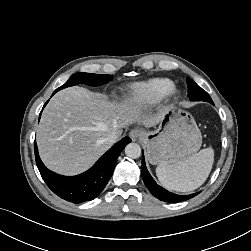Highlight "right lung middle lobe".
<instances>
[{"label": "right lung middle lobe", "instance_id": "dd1d6c3e", "mask_svg": "<svg viewBox=\"0 0 251 251\" xmlns=\"http://www.w3.org/2000/svg\"><path fill=\"white\" fill-rule=\"evenodd\" d=\"M113 77L111 75H100V74H90V73H76L73 74L69 80L58 88V90L64 89L77 84H86L90 86H100L111 81Z\"/></svg>", "mask_w": 251, "mask_h": 251}]
</instances>
